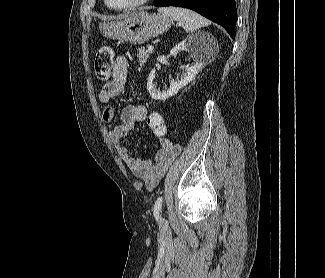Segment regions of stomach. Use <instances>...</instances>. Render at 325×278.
I'll return each mask as SVG.
<instances>
[{
  "instance_id": "obj_1",
  "label": "stomach",
  "mask_w": 325,
  "mask_h": 278,
  "mask_svg": "<svg viewBox=\"0 0 325 278\" xmlns=\"http://www.w3.org/2000/svg\"><path fill=\"white\" fill-rule=\"evenodd\" d=\"M171 20L164 14L134 12L123 20L99 24L100 33L109 39L140 45L168 31Z\"/></svg>"
}]
</instances>
